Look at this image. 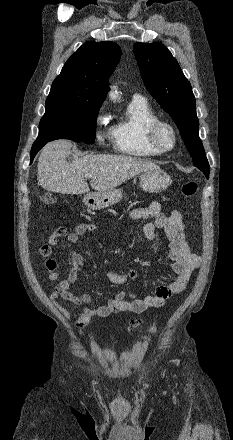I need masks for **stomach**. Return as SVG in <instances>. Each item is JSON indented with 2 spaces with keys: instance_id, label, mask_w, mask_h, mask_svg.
Segmentation results:
<instances>
[{
  "instance_id": "obj_1",
  "label": "stomach",
  "mask_w": 233,
  "mask_h": 440,
  "mask_svg": "<svg viewBox=\"0 0 233 440\" xmlns=\"http://www.w3.org/2000/svg\"><path fill=\"white\" fill-rule=\"evenodd\" d=\"M172 183L171 177L161 169L145 171L140 176L141 188L150 193L166 190ZM121 189L113 188L104 192H93L84 196V204L92 210H101L122 200Z\"/></svg>"
}]
</instances>
